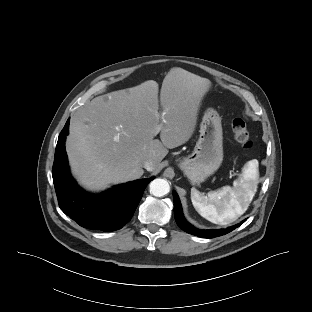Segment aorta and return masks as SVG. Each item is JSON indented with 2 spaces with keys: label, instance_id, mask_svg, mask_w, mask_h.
<instances>
[{
  "label": "aorta",
  "instance_id": "762f6f07",
  "mask_svg": "<svg viewBox=\"0 0 312 312\" xmlns=\"http://www.w3.org/2000/svg\"><path fill=\"white\" fill-rule=\"evenodd\" d=\"M170 186L167 180L157 178L150 183V193L156 197H162L169 193Z\"/></svg>",
  "mask_w": 312,
  "mask_h": 312
}]
</instances>
